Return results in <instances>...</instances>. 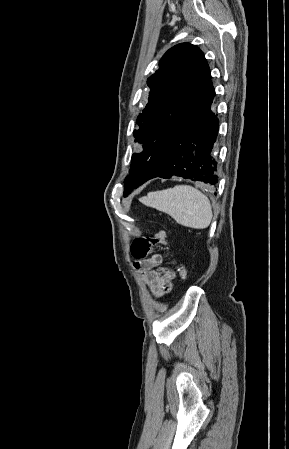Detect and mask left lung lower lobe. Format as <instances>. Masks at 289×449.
I'll use <instances>...</instances> for the list:
<instances>
[{"label":"left lung lower lobe","mask_w":289,"mask_h":449,"mask_svg":"<svg viewBox=\"0 0 289 449\" xmlns=\"http://www.w3.org/2000/svg\"><path fill=\"white\" fill-rule=\"evenodd\" d=\"M214 96L215 90L210 78L188 119L165 139L166 159L162 171L155 177L180 176L211 185L218 183L214 145L219 120L212 112Z\"/></svg>","instance_id":"left-lung-lower-lobe-1"}]
</instances>
